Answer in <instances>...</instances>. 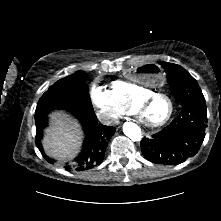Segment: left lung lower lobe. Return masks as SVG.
<instances>
[{"label":"left lung lower lobe","mask_w":221,"mask_h":221,"mask_svg":"<svg viewBox=\"0 0 221 221\" xmlns=\"http://www.w3.org/2000/svg\"><path fill=\"white\" fill-rule=\"evenodd\" d=\"M205 100L182 106L181 114L165 129L141 140L144 157L158 164L178 165L200 149L207 127Z\"/></svg>","instance_id":"left-lung-lower-lobe-1"}]
</instances>
